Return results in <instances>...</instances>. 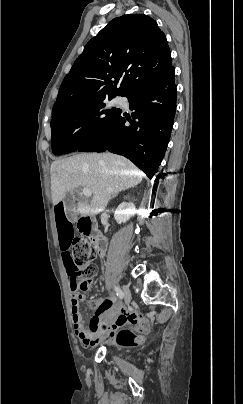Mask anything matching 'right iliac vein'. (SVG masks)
<instances>
[{"instance_id":"obj_1","label":"right iliac vein","mask_w":243,"mask_h":404,"mask_svg":"<svg viewBox=\"0 0 243 404\" xmlns=\"http://www.w3.org/2000/svg\"><path fill=\"white\" fill-rule=\"evenodd\" d=\"M122 289H123L125 302H126V304H129L130 301H131V292H130L129 288L126 285H123Z\"/></svg>"}]
</instances>
